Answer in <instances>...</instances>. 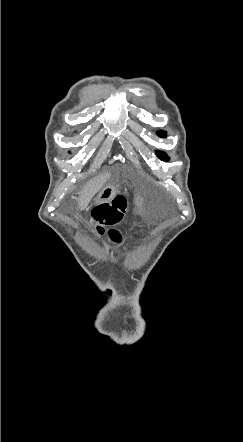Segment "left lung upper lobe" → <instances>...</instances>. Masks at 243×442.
<instances>
[{"mask_svg":"<svg viewBox=\"0 0 243 442\" xmlns=\"http://www.w3.org/2000/svg\"><path fill=\"white\" fill-rule=\"evenodd\" d=\"M158 135L160 137H165L166 136V132L165 131H161L158 133ZM156 155L158 156L159 159H161L162 161H167L169 158L167 157V155L163 152H156Z\"/></svg>","mask_w":243,"mask_h":442,"instance_id":"left-lung-upper-lobe-1","label":"left lung upper lobe"}]
</instances>
